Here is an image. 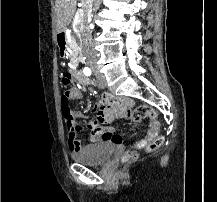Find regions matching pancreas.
Instances as JSON below:
<instances>
[{
	"label": "pancreas",
	"instance_id": "pancreas-1",
	"mask_svg": "<svg viewBox=\"0 0 217 202\" xmlns=\"http://www.w3.org/2000/svg\"><path fill=\"white\" fill-rule=\"evenodd\" d=\"M73 50H74V58H77L78 50H77V48H75V46H73Z\"/></svg>",
	"mask_w": 217,
	"mask_h": 202
}]
</instances>
